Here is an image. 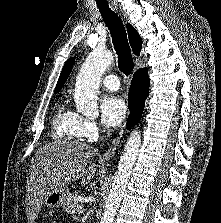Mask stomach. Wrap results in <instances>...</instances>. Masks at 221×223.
Listing matches in <instances>:
<instances>
[{
	"mask_svg": "<svg viewBox=\"0 0 221 223\" xmlns=\"http://www.w3.org/2000/svg\"><path fill=\"white\" fill-rule=\"evenodd\" d=\"M69 196L70 192L67 186L57 188L44 199L43 204L50 208H57L62 206Z\"/></svg>",
	"mask_w": 221,
	"mask_h": 223,
	"instance_id": "obj_1",
	"label": "stomach"
}]
</instances>
